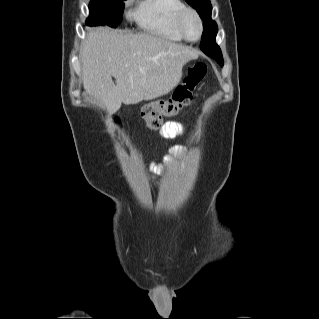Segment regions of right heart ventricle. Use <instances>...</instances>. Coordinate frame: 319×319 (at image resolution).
<instances>
[{
    "instance_id": "right-heart-ventricle-1",
    "label": "right heart ventricle",
    "mask_w": 319,
    "mask_h": 319,
    "mask_svg": "<svg viewBox=\"0 0 319 319\" xmlns=\"http://www.w3.org/2000/svg\"><path fill=\"white\" fill-rule=\"evenodd\" d=\"M186 8L182 0H144L131 12V17L145 33L169 41L183 38L175 29L177 15Z\"/></svg>"
}]
</instances>
